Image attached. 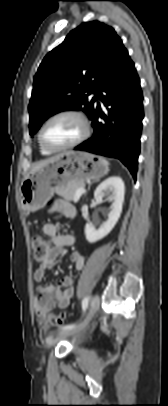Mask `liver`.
Instances as JSON below:
<instances>
[{
  "instance_id": "obj_1",
  "label": "liver",
  "mask_w": 168,
  "mask_h": 406,
  "mask_svg": "<svg viewBox=\"0 0 168 406\" xmlns=\"http://www.w3.org/2000/svg\"><path fill=\"white\" fill-rule=\"evenodd\" d=\"M59 157H60V155H57V156L51 157V158H49V159H46V160H43V161L38 162V163L35 164L34 167L31 169V172H30V173H33V172H35V171H37V170H39V169H41V168H43V167L48 166L49 164L55 162Z\"/></svg>"
}]
</instances>
